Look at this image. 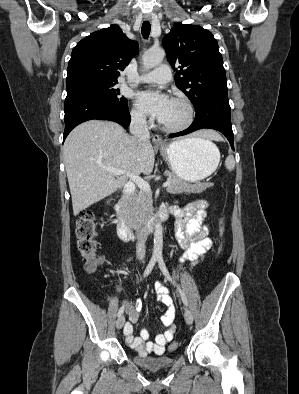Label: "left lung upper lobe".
Returning a JSON list of instances; mask_svg holds the SVG:
<instances>
[{"instance_id":"obj_1","label":"left lung upper lobe","mask_w":299,"mask_h":394,"mask_svg":"<svg viewBox=\"0 0 299 394\" xmlns=\"http://www.w3.org/2000/svg\"><path fill=\"white\" fill-rule=\"evenodd\" d=\"M167 59L176 70V86L198 107L206 99L227 95L222 55L213 34L201 26L176 23L162 40Z\"/></svg>"}]
</instances>
